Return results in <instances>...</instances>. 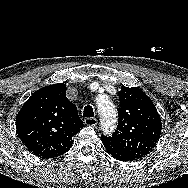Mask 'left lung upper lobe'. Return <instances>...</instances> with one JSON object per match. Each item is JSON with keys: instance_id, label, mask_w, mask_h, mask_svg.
I'll list each match as a JSON object with an SVG mask.
<instances>
[{"instance_id": "obj_1", "label": "left lung upper lobe", "mask_w": 188, "mask_h": 188, "mask_svg": "<svg viewBox=\"0 0 188 188\" xmlns=\"http://www.w3.org/2000/svg\"><path fill=\"white\" fill-rule=\"evenodd\" d=\"M118 96L117 129L112 136L101 138L140 159L152 151L160 137V116L153 102L139 88L122 86Z\"/></svg>"}]
</instances>
